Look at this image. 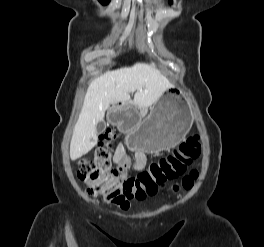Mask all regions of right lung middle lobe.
<instances>
[{"label": "right lung middle lobe", "instance_id": "right-lung-middle-lobe-1", "mask_svg": "<svg viewBox=\"0 0 264 247\" xmlns=\"http://www.w3.org/2000/svg\"><path fill=\"white\" fill-rule=\"evenodd\" d=\"M103 5H106L109 3L110 0H99Z\"/></svg>", "mask_w": 264, "mask_h": 247}]
</instances>
